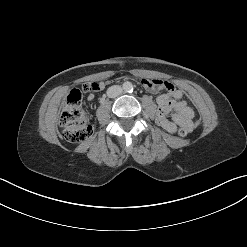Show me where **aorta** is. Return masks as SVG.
I'll return each mask as SVG.
<instances>
[{
    "mask_svg": "<svg viewBox=\"0 0 247 247\" xmlns=\"http://www.w3.org/2000/svg\"><path fill=\"white\" fill-rule=\"evenodd\" d=\"M123 89L127 92L131 91L133 89V85L131 82H124L123 83Z\"/></svg>",
    "mask_w": 247,
    "mask_h": 247,
    "instance_id": "1",
    "label": "aorta"
}]
</instances>
